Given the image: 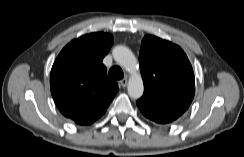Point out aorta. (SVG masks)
Here are the masks:
<instances>
[{
    "label": "aorta",
    "mask_w": 244,
    "mask_h": 157,
    "mask_svg": "<svg viewBox=\"0 0 244 157\" xmlns=\"http://www.w3.org/2000/svg\"><path fill=\"white\" fill-rule=\"evenodd\" d=\"M114 60L131 73L128 81V94L131 98L138 99L143 95L144 85L142 77L136 72V58L132 51L126 46H116L113 49Z\"/></svg>",
    "instance_id": "aorta-1"
}]
</instances>
